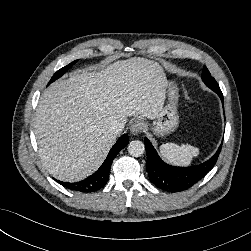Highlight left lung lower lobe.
I'll return each mask as SVG.
<instances>
[{
    "label": "left lung lower lobe",
    "mask_w": 251,
    "mask_h": 251,
    "mask_svg": "<svg viewBox=\"0 0 251 251\" xmlns=\"http://www.w3.org/2000/svg\"><path fill=\"white\" fill-rule=\"evenodd\" d=\"M216 92L223 102V94L220 89H212ZM220 145L217 152L206 162L192 167H177L164 163L156 150L145 138V147L147 154V172L150 181L158 188L170 191L179 192L189 189L198 181H200L216 164L220 150Z\"/></svg>",
    "instance_id": "1"
}]
</instances>
